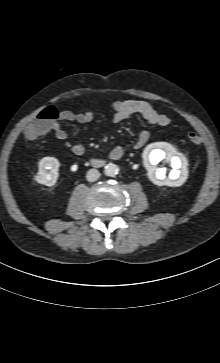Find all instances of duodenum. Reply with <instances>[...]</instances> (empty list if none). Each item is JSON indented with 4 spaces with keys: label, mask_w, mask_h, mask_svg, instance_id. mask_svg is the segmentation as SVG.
Returning a JSON list of instances; mask_svg holds the SVG:
<instances>
[{
    "label": "duodenum",
    "mask_w": 220,
    "mask_h": 363,
    "mask_svg": "<svg viewBox=\"0 0 220 363\" xmlns=\"http://www.w3.org/2000/svg\"><path fill=\"white\" fill-rule=\"evenodd\" d=\"M94 162H95L96 165H102V161L94 160Z\"/></svg>",
    "instance_id": "duodenum-1"
}]
</instances>
